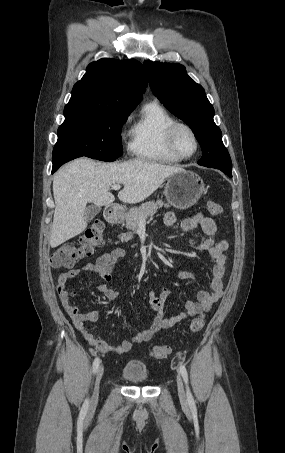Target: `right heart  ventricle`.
I'll return each instance as SVG.
<instances>
[{"label": "right heart ventricle", "instance_id": "obj_1", "mask_svg": "<svg viewBox=\"0 0 285 453\" xmlns=\"http://www.w3.org/2000/svg\"><path fill=\"white\" fill-rule=\"evenodd\" d=\"M174 117L157 101L146 103L129 131V150L137 158L174 164L181 161L166 144L168 128Z\"/></svg>", "mask_w": 285, "mask_h": 453}]
</instances>
